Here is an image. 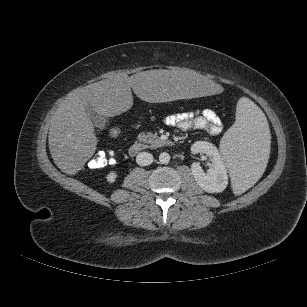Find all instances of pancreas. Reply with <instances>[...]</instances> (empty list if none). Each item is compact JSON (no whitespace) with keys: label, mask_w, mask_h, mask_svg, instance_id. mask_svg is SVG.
<instances>
[{"label":"pancreas","mask_w":307,"mask_h":307,"mask_svg":"<svg viewBox=\"0 0 307 307\" xmlns=\"http://www.w3.org/2000/svg\"><path fill=\"white\" fill-rule=\"evenodd\" d=\"M138 140H139V142H141L143 144H152V145H155V146H159V145L162 144V141L159 139L157 134H152L151 132L140 133L138 135Z\"/></svg>","instance_id":"pancreas-1"}]
</instances>
